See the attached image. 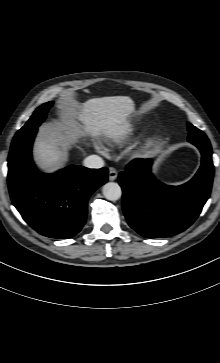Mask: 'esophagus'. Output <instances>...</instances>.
Returning <instances> with one entry per match:
<instances>
[{"label":"esophagus","mask_w":220,"mask_h":363,"mask_svg":"<svg viewBox=\"0 0 220 363\" xmlns=\"http://www.w3.org/2000/svg\"><path fill=\"white\" fill-rule=\"evenodd\" d=\"M117 176H118V173H117L116 169L113 167H110L109 174H108L109 180L114 181L117 178Z\"/></svg>","instance_id":"34e87169"}]
</instances>
